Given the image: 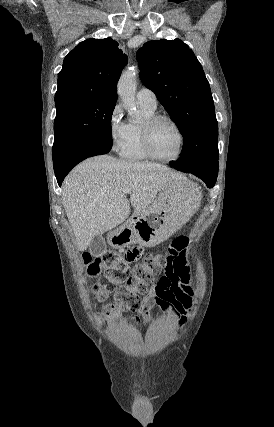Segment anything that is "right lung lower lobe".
<instances>
[{
	"label": "right lung lower lobe",
	"instance_id": "obj_1",
	"mask_svg": "<svg viewBox=\"0 0 274 427\" xmlns=\"http://www.w3.org/2000/svg\"><path fill=\"white\" fill-rule=\"evenodd\" d=\"M112 148V144H94L79 153L72 156L63 165L54 168V172L58 181V185L61 186L63 179L69 173V171L76 166L79 162L83 161L88 157L95 155H102L108 153Z\"/></svg>",
	"mask_w": 274,
	"mask_h": 427
}]
</instances>
